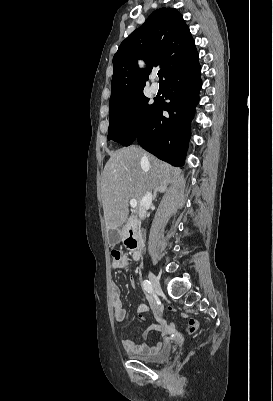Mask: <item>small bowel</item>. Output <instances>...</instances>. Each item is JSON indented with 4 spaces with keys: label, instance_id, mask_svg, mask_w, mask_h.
Listing matches in <instances>:
<instances>
[{
    "label": "small bowel",
    "instance_id": "small-bowel-1",
    "mask_svg": "<svg viewBox=\"0 0 273 401\" xmlns=\"http://www.w3.org/2000/svg\"><path fill=\"white\" fill-rule=\"evenodd\" d=\"M111 255L113 258L112 267L115 270H125L128 271L130 267V258L122 250L113 249L111 251ZM129 283L131 286H135V279L133 277L129 278ZM110 297L111 304L113 310L114 320L117 323H122L126 320V311L123 307L122 299H121V289L113 282L110 288ZM151 310L154 316V322L150 324L147 329L143 332V338H146L150 332L156 331L163 335L162 342H158L153 346H148L145 343H135L134 341L125 338L122 339L121 344L123 349L133 355H151L155 352L159 351L162 346L166 345L169 342V338L166 336L170 333V336L173 338H178L180 333L176 331V329L172 326V323H167L163 317V305L160 302H150L149 304H142L139 306L137 311V317L139 320H145V313L147 310ZM169 312H174V307L168 308ZM182 316H185V313H182ZM187 327L182 329L184 334H187L188 338H193L195 333V328L198 327L200 320L197 318H189L187 320Z\"/></svg>",
    "mask_w": 273,
    "mask_h": 401
}]
</instances>
